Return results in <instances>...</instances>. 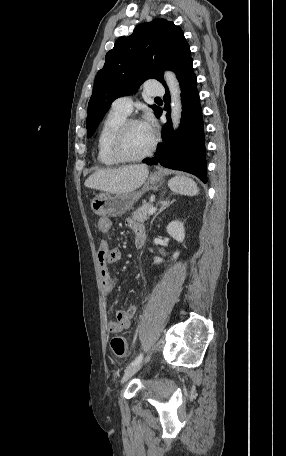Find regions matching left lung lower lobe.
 Returning a JSON list of instances; mask_svg holds the SVG:
<instances>
[{
    "label": "left lung lower lobe",
    "instance_id": "1",
    "mask_svg": "<svg viewBox=\"0 0 286 456\" xmlns=\"http://www.w3.org/2000/svg\"><path fill=\"white\" fill-rule=\"evenodd\" d=\"M181 85L182 116L181 124L176 132H173L170 119V106H165L167 123L162 130L163 144L157 148V154L146 164L159 163L164 167L181 170L194 174L204 183L207 182L206 160L204 145V129L202 108L200 106L199 93L197 90V78L193 72L192 60L182 66L177 73ZM164 100L169 103L170 96L167 86ZM162 109H158L160 116Z\"/></svg>",
    "mask_w": 286,
    "mask_h": 456
}]
</instances>
